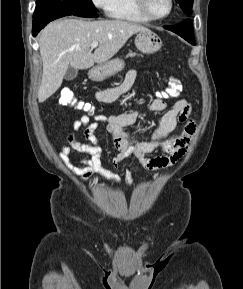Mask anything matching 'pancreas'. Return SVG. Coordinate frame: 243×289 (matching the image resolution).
Here are the masks:
<instances>
[{
    "label": "pancreas",
    "mask_w": 243,
    "mask_h": 289,
    "mask_svg": "<svg viewBox=\"0 0 243 289\" xmlns=\"http://www.w3.org/2000/svg\"><path fill=\"white\" fill-rule=\"evenodd\" d=\"M136 55H137L136 53L130 52V53L126 56V58H127V57H131V58H132V57H134V56H136Z\"/></svg>",
    "instance_id": "cf45deb5"
}]
</instances>
